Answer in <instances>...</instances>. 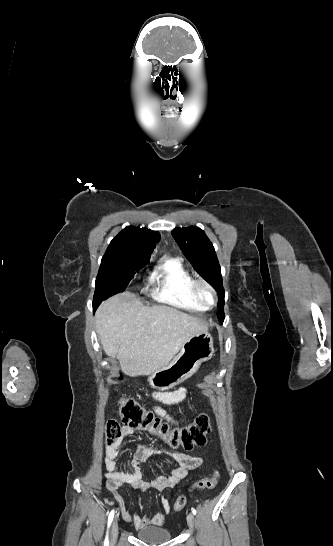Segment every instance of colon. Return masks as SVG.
I'll return each mask as SVG.
<instances>
[{
	"instance_id": "colon-1",
	"label": "colon",
	"mask_w": 333,
	"mask_h": 546,
	"mask_svg": "<svg viewBox=\"0 0 333 546\" xmlns=\"http://www.w3.org/2000/svg\"><path fill=\"white\" fill-rule=\"evenodd\" d=\"M119 416L121 423L131 429L144 431L158 436L166 444L173 448H183L191 451L196 447H202L210 432V418L208 414H198L188 425L178 428H171L162 422L159 417L145 409L140 403L132 398L122 397L119 400ZM121 425L116 419H110L106 425V441L113 444L120 437ZM219 480L218 473L212 477L203 478L193 484L192 490L213 489ZM185 495L179 496L174 502V510L180 511L186 505Z\"/></svg>"
}]
</instances>
